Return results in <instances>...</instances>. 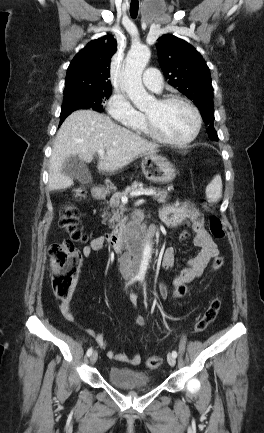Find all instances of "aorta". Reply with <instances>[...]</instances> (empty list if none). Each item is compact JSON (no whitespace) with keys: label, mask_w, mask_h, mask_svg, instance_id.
<instances>
[{"label":"aorta","mask_w":264,"mask_h":433,"mask_svg":"<svg viewBox=\"0 0 264 433\" xmlns=\"http://www.w3.org/2000/svg\"><path fill=\"white\" fill-rule=\"evenodd\" d=\"M151 56L147 46L140 45L131 48L125 59V90L133 104L142 109L153 101L142 84V73ZM152 254V243L147 240L141 248V261L137 273L138 278H144Z\"/></svg>","instance_id":"762f6f07"}]
</instances>
